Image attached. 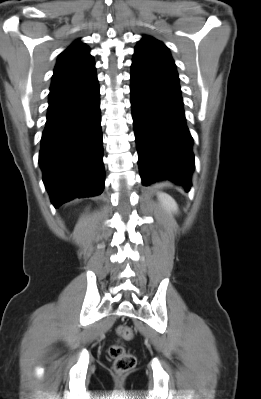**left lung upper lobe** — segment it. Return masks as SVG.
<instances>
[{
	"label": "left lung upper lobe",
	"mask_w": 261,
	"mask_h": 399,
	"mask_svg": "<svg viewBox=\"0 0 261 399\" xmlns=\"http://www.w3.org/2000/svg\"><path fill=\"white\" fill-rule=\"evenodd\" d=\"M132 65L178 75L168 48L150 36H143L136 45Z\"/></svg>",
	"instance_id": "1"
}]
</instances>
